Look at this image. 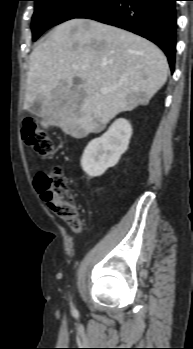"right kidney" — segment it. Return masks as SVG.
Listing matches in <instances>:
<instances>
[{"label":"right kidney","instance_id":"right-kidney-1","mask_svg":"<svg viewBox=\"0 0 193 349\" xmlns=\"http://www.w3.org/2000/svg\"><path fill=\"white\" fill-rule=\"evenodd\" d=\"M132 135L130 123L119 118L101 137L86 146L81 158L83 171L90 177H98L113 167L127 150Z\"/></svg>","mask_w":193,"mask_h":349}]
</instances>
